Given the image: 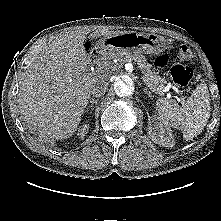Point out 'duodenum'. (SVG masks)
<instances>
[{"mask_svg":"<svg viewBox=\"0 0 221 221\" xmlns=\"http://www.w3.org/2000/svg\"><path fill=\"white\" fill-rule=\"evenodd\" d=\"M101 58V53L99 51H92L90 54H89V61L91 63H96L100 60Z\"/></svg>","mask_w":221,"mask_h":221,"instance_id":"410a0bca","label":"duodenum"}]
</instances>
